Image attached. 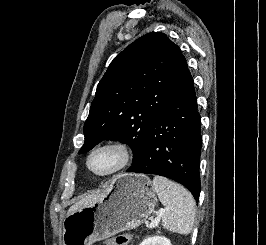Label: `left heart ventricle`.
<instances>
[{
  "mask_svg": "<svg viewBox=\"0 0 266 245\" xmlns=\"http://www.w3.org/2000/svg\"><path fill=\"white\" fill-rule=\"evenodd\" d=\"M121 160L120 152L113 147L97 151L90 160V167L97 173H108L114 170Z\"/></svg>",
  "mask_w": 266,
  "mask_h": 245,
  "instance_id": "b2bd125f",
  "label": "left heart ventricle"
}]
</instances>
